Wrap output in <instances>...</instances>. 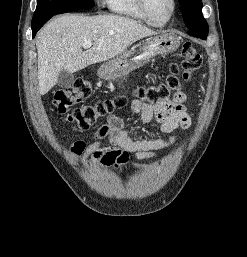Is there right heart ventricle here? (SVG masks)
Segmentation results:
<instances>
[{
	"instance_id": "1",
	"label": "right heart ventricle",
	"mask_w": 247,
	"mask_h": 257,
	"mask_svg": "<svg viewBox=\"0 0 247 257\" xmlns=\"http://www.w3.org/2000/svg\"><path fill=\"white\" fill-rule=\"evenodd\" d=\"M106 4L114 14L146 22L138 7L137 0H106Z\"/></svg>"
}]
</instances>
